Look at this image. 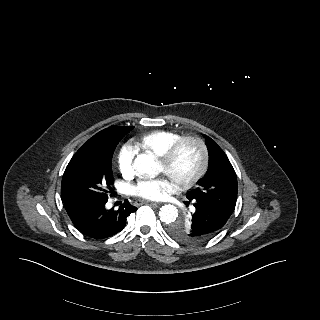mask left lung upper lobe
Instances as JSON below:
<instances>
[{
    "mask_svg": "<svg viewBox=\"0 0 320 320\" xmlns=\"http://www.w3.org/2000/svg\"><path fill=\"white\" fill-rule=\"evenodd\" d=\"M209 153L208 173L196 189L187 194L190 202L202 200L232 215L238 192L236 173L224 151L210 137L205 136ZM195 229L193 215L176 219L168 226L170 235L176 240L193 244L201 242L192 232Z\"/></svg>",
    "mask_w": 320,
    "mask_h": 320,
    "instance_id": "5c2ea615",
    "label": "left lung upper lobe"
}]
</instances>
